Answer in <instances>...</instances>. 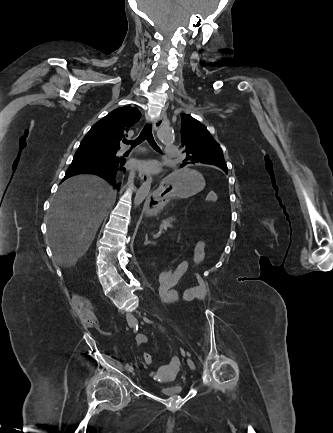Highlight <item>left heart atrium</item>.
Instances as JSON below:
<instances>
[{"label":"left heart atrium","mask_w":333,"mask_h":433,"mask_svg":"<svg viewBox=\"0 0 333 433\" xmlns=\"http://www.w3.org/2000/svg\"><path fill=\"white\" fill-rule=\"evenodd\" d=\"M133 166L140 171L156 173L159 170V165L155 161H135Z\"/></svg>","instance_id":"1"}]
</instances>
